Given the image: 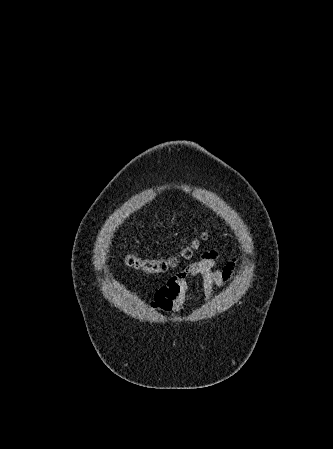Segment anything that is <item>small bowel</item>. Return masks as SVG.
<instances>
[{
  "mask_svg": "<svg viewBox=\"0 0 333 449\" xmlns=\"http://www.w3.org/2000/svg\"><path fill=\"white\" fill-rule=\"evenodd\" d=\"M217 257L218 254L214 251L206 252L199 261L190 264L180 273L169 277L166 284L155 292L150 307L164 314L181 312L185 307L191 289L190 281L196 278L202 281L206 298L212 300L214 289L223 288L225 284L231 281L236 265L235 260H230L222 268H217Z\"/></svg>",
  "mask_w": 333,
  "mask_h": 449,
  "instance_id": "obj_1",
  "label": "small bowel"
}]
</instances>
